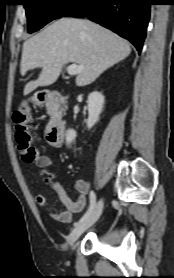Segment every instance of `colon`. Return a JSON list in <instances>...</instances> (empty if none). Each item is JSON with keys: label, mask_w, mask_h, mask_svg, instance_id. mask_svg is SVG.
Returning <instances> with one entry per match:
<instances>
[{"label": "colon", "mask_w": 174, "mask_h": 278, "mask_svg": "<svg viewBox=\"0 0 174 278\" xmlns=\"http://www.w3.org/2000/svg\"><path fill=\"white\" fill-rule=\"evenodd\" d=\"M13 121L15 124L17 148L22 155V159L27 163H31L37 158L39 153L32 145V137L29 131L30 107L28 103L24 102L21 107L14 112Z\"/></svg>", "instance_id": "obj_1"}]
</instances>
